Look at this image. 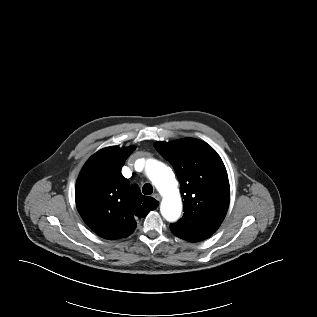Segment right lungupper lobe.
Wrapping results in <instances>:
<instances>
[{"label": "right lung upper lobe", "mask_w": 317, "mask_h": 317, "mask_svg": "<svg viewBox=\"0 0 317 317\" xmlns=\"http://www.w3.org/2000/svg\"><path fill=\"white\" fill-rule=\"evenodd\" d=\"M135 150L106 147L95 153L78 177L75 199L79 214L99 236L112 240L129 236L136 220L158 206L152 197L143 196L137 185L129 187L121 168Z\"/></svg>", "instance_id": "right-lung-upper-lobe-1"}]
</instances>
